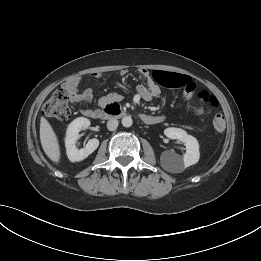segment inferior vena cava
Here are the masks:
<instances>
[{"mask_svg": "<svg viewBox=\"0 0 261 261\" xmlns=\"http://www.w3.org/2000/svg\"><path fill=\"white\" fill-rule=\"evenodd\" d=\"M118 127V120L116 119H110L108 122H107V128L109 131H114L116 130Z\"/></svg>", "mask_w": 261, "mask_h": 261, "instance_id": "1", "label": "inferior vena cava"}]
</instances>
